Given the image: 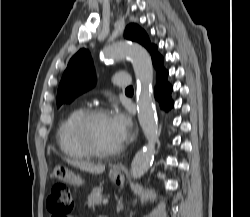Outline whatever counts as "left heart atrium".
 I'll return each mask as SVG.
<instances>
[{"instance_id": "39dd6f15", "label": "left heart atrium", "mask_w": 250, "mask_h": 217, "mask_svg": "<svg viewBox=\"0 0 250 217\" xmlns=\"http://www.w3.org/2000/svg\"><path fill=\"white\" fill-rule=\"evenodd\" d=\"M108 117L118 141L120 143L125 142L131 131V121L129 117L118 109L113 110Z\"/></svg>"}]
</instances>
